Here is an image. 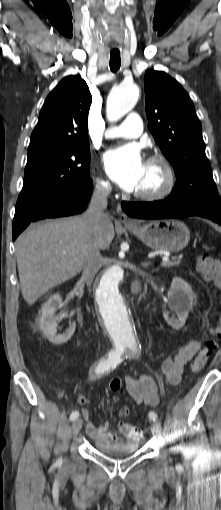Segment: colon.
<instances>
[{
  "label": "colon",
  "mask_w": 221,
  "mask_h": 510,
  "mask_svg": "<svg viewBox=\"0 0 221 510\" xmlns=\"http://www.w3.org/2000/svg\"><path fill=\"white\" fill-rule=\"evenodd\" d=\"M197 267L202 275L211 282L216 288L221 289V268L218 263L207 254H200L197 257ZM214 348L213 340L207 341L198 351L196 357L191 363V370L194 374L199 373L205 366L212 349ZM110 390L118 392L121 388V380L114 377L110 380ZM119 415L126 417L129 415V409L123 408L120 410ZM132 438L136 439L141 436L139 428L130 427L127 429Z\"/></svg>",
  "instance_id": "colon-1"
}]
</instances>
